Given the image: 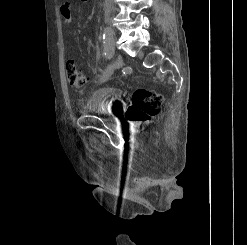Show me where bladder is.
<instances>
[{
	"instance_id": "1",
	"label": "bladder",
	"mask_w": 247,
	"mask_h": 245,
	"mask_svg": "<svg viewBox=\"0 0 247 245\" xmlns=\"http://www.w3.org/2000/svg\"><path fill=\"white\" fill-rule=\"evenodd\" d=\"M122 91L113 87H96L85 98L82 110L90 114H107L120 107Z\"/></svg>"
}]
</instances>
